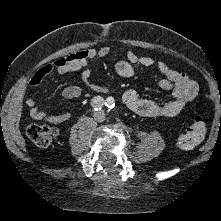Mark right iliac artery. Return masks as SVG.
I'll use <instances>...</instances> for the list:
<instances>
[{
  "instance_id": "82829eb1",
  "label": "right iliac artery",
  "mask_w": 221,
  "mask_h": 221,
  "mask_svg": "<svg viewBox=\"0 0 221 221\" xmlns=\"http://www.w3.org/2000/svg\"><path fill=\"white\" fill-rule=\"evenodd\" d=\"M91 105L94 110L99 111L104 107V105H106V102L102 97L96 96L91 100Z\"/></svg>"
}]
</instances>
